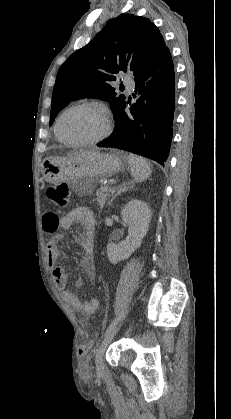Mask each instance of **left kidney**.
I'll use <instances>...</instances> for the list:
<instances>
[{
	"label": "left kidney",
	"mask_w": 231,
	"mask_h": 419,
	"mask_svg": "<svg viewBox=\"0 0 231 419\" xmlns=\"http://www.w3.org/2000/svg\"><path fill=\"white\" fill-rule=\"evenodd\" d=\"M123 221L128 225V236L125 240L107 245V256L112 264L127 259L146 236L152 212L147 203L141 200H132L125 205L121 212Z\"/></svg>",
	"instance_id": "1"
}]
</instances>
